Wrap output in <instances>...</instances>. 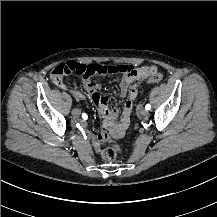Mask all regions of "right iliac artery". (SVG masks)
I'll return each mask as SVG.
<instances>
[{"label":"right iliac artery","instance_id":"obj_1","mask_svg":"<svg viewBox=\"0 0 217 217\" xmlns=\"http://www.w3.org/2000/svg\"><path fill=\"white\" fill-rule=\"evenodd\" d=\"M82 119L86 120L87 119V115L85 113L82 114Z\"/></svg>","mask_w":217,"mask_h":217}]
</instances>
